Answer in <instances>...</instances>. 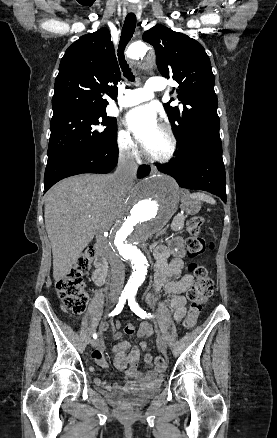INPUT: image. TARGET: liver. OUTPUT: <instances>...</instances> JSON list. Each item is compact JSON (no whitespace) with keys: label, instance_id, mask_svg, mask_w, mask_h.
<instances>
[{"label":"liver","instance_id":"obj_1","mask_svg":"<svg viewBox=\"0 0 277 438\" xmlns=\"http://www.w3.org/2000/svg\"><path fill=\"white\" fill-rule=\"evenodd\" d=\"M113 174H80L61 180L45 196V228L51 242L53 278H66L97 232L110 230L127 205Z\"/></svg>","mask_w":277,"mask_h":438}]
</instances>
